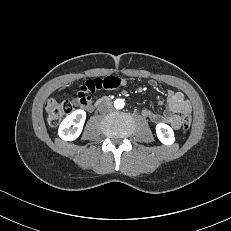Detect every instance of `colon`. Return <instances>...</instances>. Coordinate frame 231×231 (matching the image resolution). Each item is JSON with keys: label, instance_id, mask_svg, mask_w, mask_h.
<instances>
[{"label": "colon", "instance_id": "1", "mask_svg": "<svg viewBox=\"0 0 231 231\" xmlns=\"http://www.w3.org/2000/svg\"><path fill=\"white\" fill-rule=\"evenodd\" d=\"M45 107L47 113V122L52 127L58 126L62 119L73 109L72 103L70 101H59L55 98H49ZM191 121L192 118L190 114L183 115L182 127L184 130L189 129Z\"/></svg>", "mask_w": 231, "mask_h": 231}]
</instances>
